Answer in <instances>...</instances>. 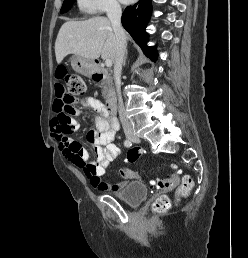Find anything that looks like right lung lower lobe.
<instances>
[{
  "mask_svg": "<svg viewBox=\"0 0 248 258\" xmlns=\"http://www.w3.org/2000/svg\"><path fill=\"white\" fill-rule=\"evenodd\" d=\"M151 12V0H139L133 6L126 7L121 21L123 27L130 33L145 55L155 61L157 59V51L155 47L147 46L148 35L145 32Z\"/></svg>",
  "mask_w": 248,
  "mask_h": 258,
  "instance_id": "obj_1",
  "label": "right lung lower lobe"
}]
</instances>
